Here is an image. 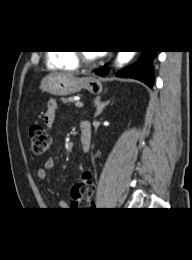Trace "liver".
I'll use <instances>...</instances> for the list:
<instances>
[{
  "label": "liver",
  "instance_id": "liver-1",
  "mask_svg": "<svg viewBox=\"0 0 192 260\" xmlns=\"http://www.w3.org/2000/svg\"><path fill=\"white\" fill-rule=\"evenodd\" d=\"M58 74H60V75H64V76H68V77H73L72 74H66V73H58Z\"/></svg>",
  "mask_w": 192,
  "mask_h": 260
}]
</instances>
